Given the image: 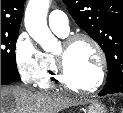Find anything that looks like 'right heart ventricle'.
Masks as SVG:
<instances>
[{
  "label": "right heart ventricle",
  "mask_w": 123,
  "mask_h": 113,
  "mask_svg": "<svg viewBox=\"0 0 123 113\" xmlns=\"http://www.w3.org/2000/svg\"><path fill=\"white\" fill-rule=\"evenodd\" d=\"M62 37L65 35L58 34ZM54 62V56L50 53L43 54L42 71L38 86L42 89H50L56 84H60Z\"/></svg>",
  "instance_id": "right-heart-ventricle-1"
}]
</instances>
